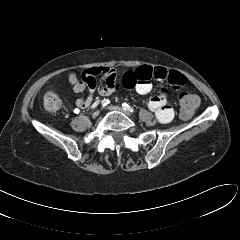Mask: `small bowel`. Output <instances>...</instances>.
I'll return each mask as SVG.
<instances>
[{
	"label": "small bowel",
	"instance_id": "small-bowel-1",
	"mask_svg": "<svg viewBox=\"0 0 240 240\" xmlns=\"http://www.w3.org/2000/svg\"><path fill=\"white\" fill-rule=\"evenodd\" d=\"M101 76L102 83L97 87L95 77ZM67 79L75 93L88 91V96L78 98L75 102L77 110L87 108L92 102V95L96 89L103 96L114 93L120 87L135 89L137 93L146 95L152 90V79L165 81L167 87L162 89L159 95L152 97L148 102L149 109L155 113L161 123H169L174 118V109L169 104L166 92L167 88L178 90L186 83V78L178 71L167 70L163 67L141 66L135 70L124 73L120 81L117 73L108 67H93L83 71L82 80H79L74 71L68 73Z\"/></svg>",
	"mask_w": 240,
	"mask_h": 240
}]
</instances>
